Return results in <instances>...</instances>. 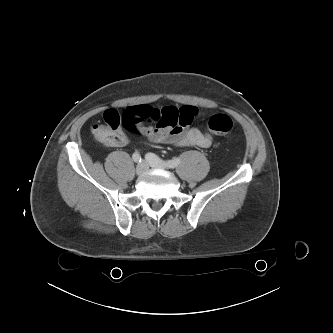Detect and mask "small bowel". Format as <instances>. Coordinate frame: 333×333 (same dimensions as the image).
I'll use <instances>...</instances> for the list:
<instances>
[{
  "label": "small bowel",
  "instance_id": "obj_1",
  "mask_svg": "<svg viewBox=\"0 0 333 333\" xmlns=\"http://www.w3.org/2000/svg\"><path fill=\"white\" fill-rule=\"evenodd\" d=\"M197 114L198 110L193 106L153 108L142 105L129 107L126 110V116L133 125V133L146 138L149 142L178 147L208 148L212 144V137L191 127ZM128 141V136L119 130L111 146L122 147Z\"/></svg>",
  "mask_w": 333,
  "mask_h": 333
}]
</instances>
